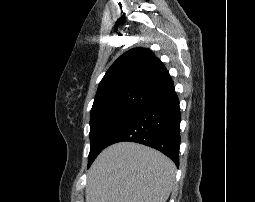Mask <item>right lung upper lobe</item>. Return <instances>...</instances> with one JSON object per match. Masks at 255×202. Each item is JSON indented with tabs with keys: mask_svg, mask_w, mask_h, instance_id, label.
Segmentation results:
<instances>
[{
	"mask_svg": "<svg viewBox=\"0 0 255 202\" xmlns=\"http://www.w3.org/2000/svg\"><path fill=\"white\" fill-rule=\"evenodd\" d=\"M174 92L163 63L146 48L121 55L101 80L91 116L112 110H140L154 100Z\"/></svg>",
	"mask_w": 255,
	"mask_h": 202,
	"instance_id": "cb5924a9",
	"label": "right lung upper lobe"
}]
</instances>
